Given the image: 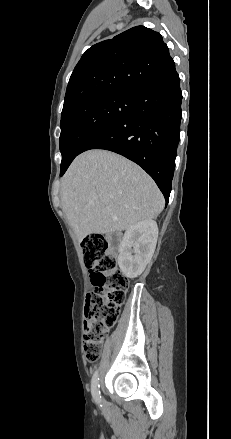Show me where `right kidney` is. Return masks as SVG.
<instances>
[{"instance_id": "obj_1", "label": "right kidney", "mask_w": 231, "mask_h": 439, "mask_svg": "<svg viewBox=\"0 0 231 439\" xmlns=\"http://www.w3.org/2000/svg\"><path fill=\"white\" fill-rule=\"evenodd\" d=\"M158 238L154 220L141 221L128 228L119 248L118 265L127 278L139 276L151 260Z\"/></svg>"}]
</instances>
